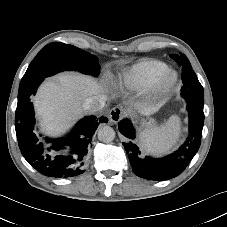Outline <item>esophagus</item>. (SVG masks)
<instances>
[{
  "label": "esophagus",
  "mask_w": 227,
  "mask_h": 227,
  "mask_svg": "<svg viewBox=\"0 0 227 227\" xmlns=\"http://www.w3.org/2000/svg\"><path fill=\"white\" fill-rule=\"evenodd\" d=\"M122 115V109L120 107H114L110 110L108 118L111 122L116 123L122 118Z\"/></svg>",
  "instance_id": "34e87169"
}]
</instances>
